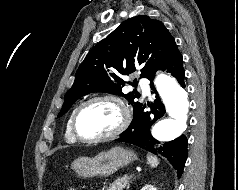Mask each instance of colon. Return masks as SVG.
<instances>
[{
	"label": "colon",
	"mask_w": 238,
	"mask_h": 190,
	"mask_svg": "<svg viewBox=\"0 0 238 190\" xmlns=\"http://www.w3.org/2000/svg\"><path fill=\"white\" fill-rule=\"evenodd\" d=\"M69 190H76L75 188H70Z\"/></svg>",
	"instance_id": "obj_1"
}]
</instances>
